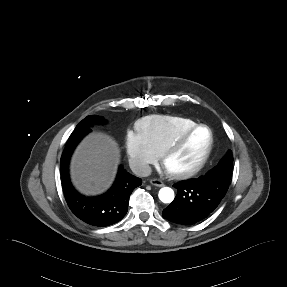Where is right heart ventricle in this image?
Instances as JSON below:
<instances>
[{"mask_svg": "<svg viewBox=\"0 0 287 287\" xmlns=\"http://www.w3.org/2000/svg\"><path fill=\"white\" fill-rule=\"evenodd\" d=\"M195 125V121L184 116L149 115L137 123V129L161 154L176 137Z\"/></svg>", "mask_w": 287, "mask_h": 287, "instance_id": "e07e8e85", "label": "right heart ventricle"}]
</instances>
